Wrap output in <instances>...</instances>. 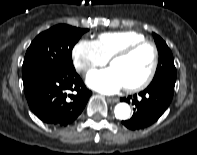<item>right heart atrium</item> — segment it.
<instances>
[{
  "mask_svg": "<svg viewBox=\"0 0 197 155\" xmlns=\"http://www.w3.org/2000/svg\"><path fill=\"white\" fill-rule=\"evenodd\" d=\"M72 58L75 69L83 75L108 62L97 42L88 39H81L74 45Z\"/></svg>",
  "mask_w": 197,
  "mask_h": 155,
  "instance_id": "1",
  "label": "right heart atrium"
}]
</instances>
